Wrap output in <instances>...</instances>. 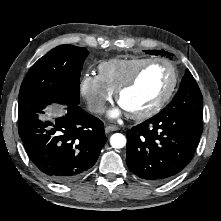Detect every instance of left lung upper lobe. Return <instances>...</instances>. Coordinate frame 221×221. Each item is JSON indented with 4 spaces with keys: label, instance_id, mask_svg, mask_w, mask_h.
I'll return each instance as SVG.
<instances>
[{
    "label": "left lung upper lobe",
    "instance_id": "obj_1",
    "mask_svg": "<svg viewBox=\"0 0 221 221\" xmlns=\"http://www.w3.org/2000/svg\"><path fill=\"white\" fill-rule=\"evenodd\" d=\"M155 52H158L154 50ZM151 54L153 51L147 50ZM202 121L203 98L200 89L188 69L173 100L165 107Z\"/></svg>",
    "mask_w": 221,
    "mask_h": 221
}]
</instances>
